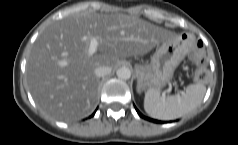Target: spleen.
Listing matches in <instances>:
<instances>
[{
    "label": "spleen",
    "instance_id": "1",
    "mask_svg": "<svg viewBox=\"0 0 238 145\" xmlns=\"http://www.w3.org/2000/svg\"><path fill=\"white\" fill-rule=\"evenodd\" d=\"M206 93L203 84L188 85L181 95L161 96L157 89H149L144 98L146 113L155 119L172 120L179 118L197 108Z\"/></svg>",
    "mask_w": 238,
    "mask_h": 145
}]
</instances>
